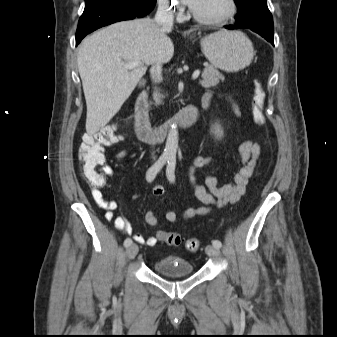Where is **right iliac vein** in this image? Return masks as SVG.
<instances>
[{
    "label": "right iliac vein",
    "instance_id": "right-iliac-vein-1",
    "mask_svg": "<svg viewBox=\"0 0 337 337\" xmlns=\"http://www.w3.org/2000/svg\"><path fill=\"white\" fill-rule=\"evenodd\" d=\"M138 253V246L131 244L126 250V256L128 259H133Z\"/></svg>",
    "mask_w": 337,
    "mask_h": 337
}]
</instances>
